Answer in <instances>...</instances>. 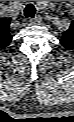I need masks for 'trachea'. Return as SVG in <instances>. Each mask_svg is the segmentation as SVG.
Wrapping results in <instances>:
<instances>
[{"label":"trachea","instance_id":"3493384b","mask_svg":"<svg viewBox=\"0 0 74 122\" xmlns=\"http://www.w3.org/2000/svg\"><path fill=\"white\" fill-rule=\"evenodd\" d=\"M35 13H36L35 6L31 3L27 4L25 9H24V16L26 18H34Z\"/></svg>","mask_w":74,"mask_h":122}]
</instances>
